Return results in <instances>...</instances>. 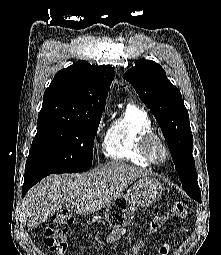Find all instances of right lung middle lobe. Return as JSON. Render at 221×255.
<instances>
[{
	"label": "right lung middle lobe",
	"instance_id": "obj_1",
	"mask_svg": "<svg viewBox=\"0 0 221 255\" xmlns=\"http://www.w3.org/2000/svg\"><path fill=\"white\" fill-rule=\"evenodd\" d=\"M102 112L86 118L39 116L25 175L88 170L92 166L93 143Z\"/></svg>",
	"mask_w": 221,
	"mask_h": 255
}]
</instances>
